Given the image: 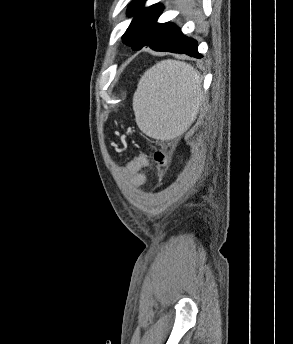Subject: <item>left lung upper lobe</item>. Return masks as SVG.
Segmentation results:
<instances>
[{
	"label": "left lung upper lobe",
	"mask_w": 293,
	"mask_h": 344,
	"mask_svg": "<svg viewBox=\"0 0 293 344\" xmlns=\"http://www.w3.org/2000/svg\"><path fill=\"white\" fill-rule=\"evenodd\" d=\"M145 1L133 0L127 9V15H134V18L122 38L126 44L132 46L133 50H140L146 45L166 43L179 30L176 25L169 22L157 23L163 5L154 4L144 7Z\"/></svg>",
	"instance_id": "obj_1"
}]
</instances>
